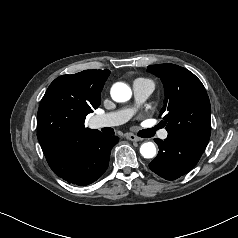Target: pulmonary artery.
<instances>
[{"instance_id": "pulmonary-artery-1", "label": "pulmonary artery", "mask_w": 238, "mask_h": 238, "mask_svg": "<svg viewBox=\"0 0 238 238\" xmlns=\"http://www.w3.org/2000/svg\"><path fill=\"white\" fill-rule=\"evenodd\" d=\"M154 83L148 79H136L133 83V92L137 105L142 104L153 92ZM135 109H121L95 118L98 128L112 127L125 123L133 115ZM162 138L167 137V131H162Z\"/></svg>"}]
</instances>
